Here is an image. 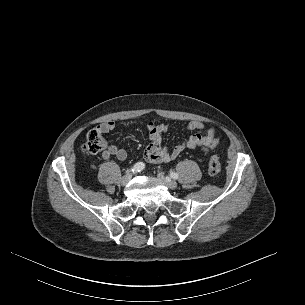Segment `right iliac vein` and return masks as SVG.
I'll list each match as a JSON object with an SVG mask.
<instances>
[{
    "instance_id": "obj_1",
    "label": "right iliac vein",
    "mask_w": 305,
    "mask_h": 305,
    "mask_svg": "<svg viewBox=\"0 0 305 305\" xmlns=\"http://www.w3.org/2000/svg\"><path fill=\"white\" fill-rule=\"evenodd\" d=\"M131 178H132L131 173H128V174L124 175L120 180V184L122 186H126L130 182Z\"/></svg>"
}]
</instances>
